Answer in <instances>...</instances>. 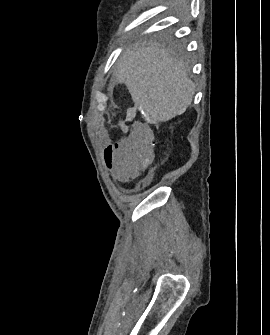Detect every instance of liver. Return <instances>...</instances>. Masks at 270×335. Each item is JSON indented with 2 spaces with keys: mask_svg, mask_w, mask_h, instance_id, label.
I'll list each match as a JSON object with an SVG mask.
<instances>
[{
  "mask_svg": "<svg viewBox=\"0 0 270 335\" xmlns=\"http://www.w3.org/2000/svg\"><path fill=\"white\" fill-rule=\"evenodd\" d=\"M119 84H125L148 124L168 122L191 106L195 84L180 60L154 42L133 44L123 52L118 68Z\"/></svg>",
  "mask_w": 270,
  "mask_h": 335,
  "instance_id": "1",
  "label": "liver"
}]
</instances>
